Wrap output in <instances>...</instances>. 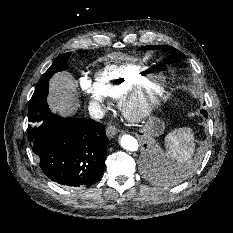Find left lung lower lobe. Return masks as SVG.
Here are the masks:
<instances>
[{
	"label": "left lung lower lobe",
	"mask_w": 233,
	"mask_h": 233,
	"mask_svg": "<svg viewBox=\"0 0 233 233\" xmlns=\"http://www.w3.org/2000/svg\"><path fill=\"white\" fill-rule=\"evenodd\" d=\"M202 114L207 117V112L205 110L202 111Z\"/></svg>",
	"instance_id": "0a47b994"
}]
</instances>
